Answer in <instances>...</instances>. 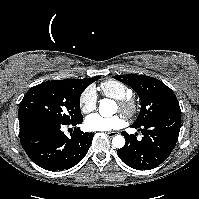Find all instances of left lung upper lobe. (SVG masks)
<instances>
[{
    "label": "left lung upper lobe",
    "instance_id": "left-lung-upper-lobe-1",
    "mask_svg": "<svg viewBox=\"0 0 199 199\" xmlns=\"http://www.w3.org/2000/svg\"><path fill=\"white\" fill-rule=\"evenodd\" d=\"M129 85L141 99V110L134 126H142L150 120L170 112H181L174 92L162 81L144 75L128 74L114 76Z\"/></svg>",
    "mask_w": 199,
    "mask_h": 199
}]
</instances>
